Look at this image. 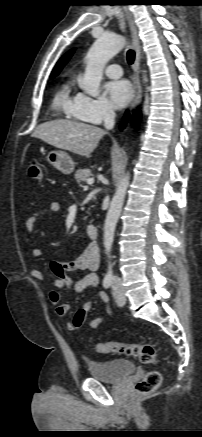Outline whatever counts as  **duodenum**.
Wrapping results in <instances>:
<instances>
[{"mask_svg": "<svg viewBox=\"0 0 202 437\" xmlns=\"http://www.w3.org/2000/svg\"><path fill=\"white\" fill-rule=\"evenodd\" d=\"M86 233L89 238L96 239L98 236V226L95 223H89L86 226Z\"/></svg>", "mask_w": 202, "mask_h": 437, "instance_id": "duodenum-1", "label": "duodenum"}]
</instances>
